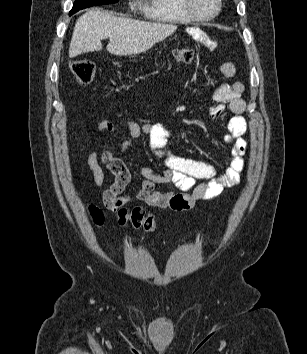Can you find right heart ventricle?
Instances as JSON below:
<instances>
[{"label":"right heart ventricle","instance_id":"e07e8e85","mask_svg":"<svg viewBox=\"0 0 307 354\" xmlns=\"http://www.w3.org/2000/svg\"><path fill=\"white\" fill-rule=\"evenodd\" d=\"M143 12L147 18L164 23H187L192 20L182 10L180 0H144Z\"/></svg>","mask_w":307,"mask_h":354}]
</instances>
